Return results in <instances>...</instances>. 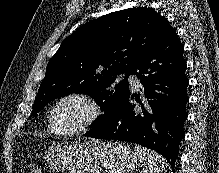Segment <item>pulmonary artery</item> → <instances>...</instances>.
<instances>
[{
    "mask_svg": "<svg viewBox=\"0 0 219 173\" xmlns=\"http://www.w3.org/2000/svg\"><path fill=\"white\" fill-rule=\"evenodd\" d=\"M122 77H128L130 83L134 86V87H138L139 83H138V79L136 78L135 75L131 74V73H123L121 75Z\"/></svg>",
    "mask_w": 219,
    "mask_h": 173,
    "instance_id": "1",
    "label": "pulmonary artery"
}]
</instances>
